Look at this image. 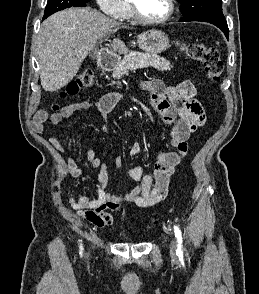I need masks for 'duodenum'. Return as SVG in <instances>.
<instances>
[{"mask_svg":"<svg viewBox=\"0 0 259 294\" xmlns=\"http://www.w3.org/2000/svg\"><path fill=\"white\" fill-rule=\"evenodd\" d=\"M118 59L112 53H102L98 58V65L103 71H111L117 65Z\"/></svg>","mask_w":259,"mask_h":294,"instance_id":"1","label":"duodenum"}]
</instances>
